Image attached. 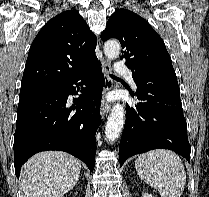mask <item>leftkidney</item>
Instances as JSON below:
<instances>
[{"mask_svg":"<svg viewBox=\"0 0 209 197\" xmlns=\"http://www.w3.org/2000/svg\"><path fill=\"white\" fill-rule=\"evenodd\" d=\"M142 197H154V196H152L151 194L145 193L142 195Z\"/></svg>","mask_w":209,"mask_h":197,"instance_id":"left-kidney-1","label":"left kidney"}]
</instances>
